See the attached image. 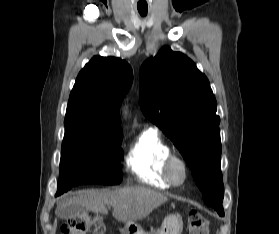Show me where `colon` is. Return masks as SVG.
<instances>
[{
  "label": "colon",
  "instance_id": "colon-1",
  "mask_svg": "<svg viewBox=\"0 0 279 234\" xmlns=\"http://www.w3.org/2000/svg\"><path fill=\"white\" fill-rule=\"evenodd\" d=\"M94 229L95 234H103L105 226L98 212L86 210L73 217L62 228L63 234H87ZM188 234H208V221L197 211H191L188 216Z\"/></svg>",
  "mask_w": 279,
  "mask_h": 234
}]
</instances>
